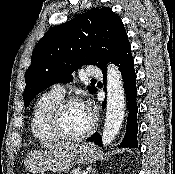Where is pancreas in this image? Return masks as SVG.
<instances>
[{"label": "pancreas", "instance_id": "pancreas-1", "mask_svg": "<svg viewBox=\"0 0 175 174\" xmlns=\"http://www.w3.org/2000/svg\"><path fill=\"white\" fill-rule=\"evenodd\" d=\"M70 174H82V170L81 168H76V169H73Z\"/></svg>", "mask_w": 175, "mask_h": 174}]
</instances>
